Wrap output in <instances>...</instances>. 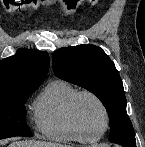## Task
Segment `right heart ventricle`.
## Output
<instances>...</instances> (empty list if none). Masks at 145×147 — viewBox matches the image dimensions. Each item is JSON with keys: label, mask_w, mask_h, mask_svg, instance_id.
I'll use <instances>...</instances> for the list:
<instances>
[{"label": "right heart ventricle", "mask_w": 145, "mask_h": 147, "mask_svg": "<svg viewBox=\"0 0 145 147\" xmlns=\"http://www.w3.org/2000/svg\"><path fill=\"white\" fill-rule=\"evenodd\" d=\"M78 89L63 79L50 81L33 104L37 131L45 138L61 143L89 142L74 127L69 116V103Z\"/></svg>", "instance_id": "right-heart-ventricle-1"}]
</instances>
